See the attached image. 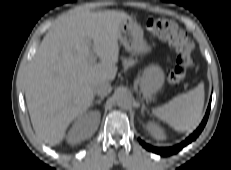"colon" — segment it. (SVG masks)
I'll list each match as a JSON object with an SVG mask.
<instances>
[{
  "label": "colon",
  "instance_id": "5ec220e1",
  "mask_svg": "<svg viewBox=\"0 0 231 170\" xmlns=\"http://www.w3.org/2000/svg\"><path fill=\"white\" fill-rule=\"evenodd\" d=\"M144 28L168 42L177 52L176 64L167 77L171 86H177L184 78L191 62V42L175 23L163 18H147L144 21Z\"/></svg>",
  "mask_w": 231,
  "mask_h": 170
}]
</instances>
